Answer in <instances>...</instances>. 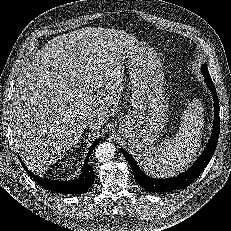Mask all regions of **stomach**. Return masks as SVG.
I'll use <instances>...</instances> for the list:
<instances>
[{
	"mask_svg": "<svg viewBox=\"0 0 231 231\" xmlns=\"http://www.w3.org/2000/svg\"><path fill=\"white\" fill-rule=\"evenodd\" d=\"M131 82L130 106L119 133L133 150L152 145L168 119L163 64L155 50L138 46L127 56Z\"/></svg>",
	"mask_w": 231,
	"mask_h": 231,
	"instance_id": "1",
	"label": "stomach"
}]
</instances>
